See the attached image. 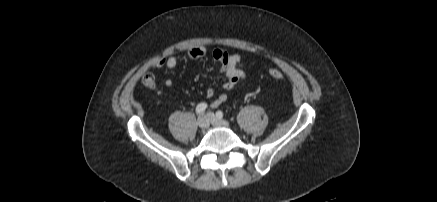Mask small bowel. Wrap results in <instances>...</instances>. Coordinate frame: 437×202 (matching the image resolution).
Returning <instances> with one entry per match:
<instances>
[{
    "instance_id": "obj_1",
    "label": "small bowel",
    "mask_w": 437,
    "mask_h": 202,
    "mask_svg": "<svg viewBox=\"0 0 437 202\" xmlns=\"http://www.w3.org/2000/svg\"><path fill=\"white\" fill-rule=\"evenodd\" d=\"M205 54L206 49L203 46H194L189 49L188 58L190 60H198L203 58ZM213 58L220 64V73L226 79L222 85L224 92L211 102V107L216 108L227 100L228 93L231 92L238 83L245 79L246 73L244 66L242 65V57L239 54H229L223 49H216L213 51ZM177 63V58L174 55H169L167 58L159 59L153 66L158 69L163 67L174 69L177 66ZM165 85L170 90L173 88L171 80H167ZM214 94V89H207V98H212Z\"/></svg>"
}]
</instances>
